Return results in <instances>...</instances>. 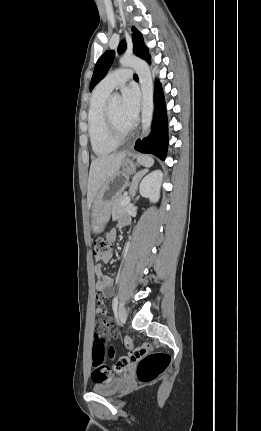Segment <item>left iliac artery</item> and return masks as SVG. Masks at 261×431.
I'll return each mask as SVG.
<instances>
[{
  "label": "left iliac artery",
  "mask_w": 261,
  "mask_h": 431,
  "mask_svg": "<svg viewBox=\"0 0 261 431\" xmlns=\"http://www.w3.org/2000/svg\"><path fill=\"white\" fill-rule=\"evenodd\" d=\"M117 306H118V297L116 296L113 300V311H117Z\"/></svg>",
  "instance_id": "obj_1"
}]
</instances>
